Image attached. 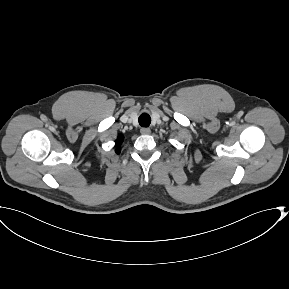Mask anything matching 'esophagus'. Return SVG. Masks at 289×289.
Masks as SVG:
<instances>
[{"instance_id": "1", "label": "esophagus", "mask_w": 289, "mask_h": 289, "mask_svg": "<svg viewBox=\"0 0 289 289\" xmlns=\"http://www.w3.org/2000/svg\"><path fill=\"white\" fill-rule=\"evenodd\" d=\"M140 132L142 135H149L151 133V130L150 128L143 127L141 128Z\"/></svg>"}]
</instances>
